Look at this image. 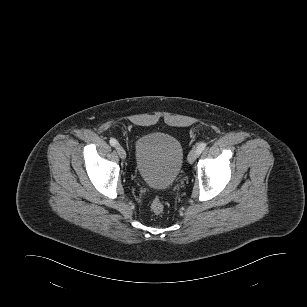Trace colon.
<instances>
[{
  "label": "colon",
  "instance_id": "obj_1",
  "mask_svg": "<svg viewBox=\"0 0 307 307\" xmlns=\"http://www.w3.org/2000/svg\"><path fill=\"white\" fill-rule=\"evenodd\" d=\"M151 210L154 214H161L164 210L163 202L160 198L156 197L151 203Z\"/></svg>",
  "mask_w": 307,
  "mask_h": 307
}]
</instances>
